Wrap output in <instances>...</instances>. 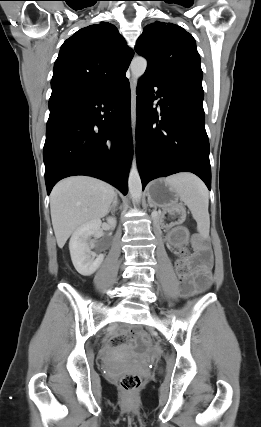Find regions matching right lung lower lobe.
<instances>
[{"mask_svg": "<svg viewBox=\"0 0 261 427\" xmlns=\"http://www.w3.org/2000/svg\"><path fill=\"white\" fill-rule=\"evenodd\" d=\"M43 157L48 195L72 175L102 179L127 194L132 157L128 79L50 109Z\"/></svg>", "mask_w": 261, "mask_h": 427, "instance_id": "98d812e1", "label": "right lung lower lobe"}]
</instances>
